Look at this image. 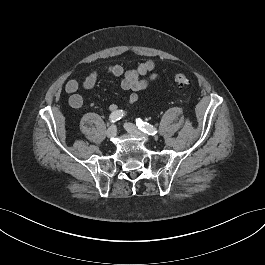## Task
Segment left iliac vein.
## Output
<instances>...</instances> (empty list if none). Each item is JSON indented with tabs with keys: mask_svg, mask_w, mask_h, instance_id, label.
I'll return each instance as SVG.
<instances>
[{
	"mask_svg": "<svg viewBox=\"0 0 265 265\" xmlns=\"http://www.w3.org/2000/svg\"><path fill=\"white\" fill-rule=\"evenodd\" d=\"M125 128L130 134L140 137L146 142L150 141V138L145 133L141 132L134 124L125 123Z\"/></svg>",
	"mask_w": 265,
	"mask_h": 265,
	"instance_id": "4c4485c4",
	"label": "left iliac vein"
}]
</instances>
